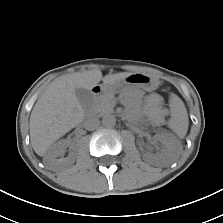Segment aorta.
I'll return each mask as SVG.
<instances>
[{
	"mask_svg": "<svg viewBox=\"0 0 223 223\" xmlns=\"http://www.w3.org/2000/svg\"><path fill=\"white\" fill-rule=\"evenodd\" d=\"M102 124L105 127H114L116 124V118L112 114L104 115L102 118Z\"/></svg>",
	"mask_w": 223,
	"mask_h": 223,
	"instance_id": "1",
	"label": "aorta"
}]
</instances>
